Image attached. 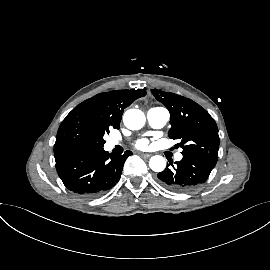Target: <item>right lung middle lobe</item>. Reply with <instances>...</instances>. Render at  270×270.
Segmentation results:
<instances>
[{
	"mask_svg": "<svg viewBox=\"0 0 270 270\" xmlns=\"http://www.w3.org/2000/svg\"><path fill=\"white\" fill-rule=\"evenodd\" d=\"M109 129L89 118L83 110H72L62 121L56 136L54 147L68 145H85L103 147V136Z\"/></svg>",
	"mask_w": 270,
	"mask_h": 270,
	"instance_id": "dd1d6c3e",
	"label": "right lung middle lobe"
}]
</instances>
